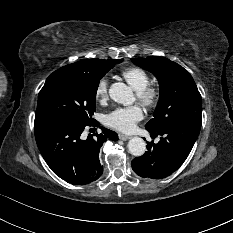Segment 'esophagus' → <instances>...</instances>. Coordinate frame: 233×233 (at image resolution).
Instances as JSON below:
<instances>
[{
    "label": "esophagus",
    "mask_w": 233,
    "mask_h": 233,
    "mask_svg": "<svg viewBox=\"0 0 233 233\" xmlns=\"http://www.w3.org/2000/svg\"><path fill=\"white\" fill-rule=\"evenodd\" d=\"M130 138H131L130 136L119 134V139L122 140V141H127Z\"/></svg>",
    "instance_id": "esophagus-1"
}]
</instances>
